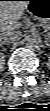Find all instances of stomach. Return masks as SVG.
I'll use <instances>...</instances> for the list:
<instances>
[{
	"label": "stomach",
	"mask_w": 50,
	"mask_h": 111,
	"mask_svg": "<svg viewBox=\"0 0 50 111\" xmlns=\"http://www.w3.org/2000/svg\"><path fill=\"white\" fill-rule=\"evenodd\" d=\"M27 10L40 22L50 21V0H29Z\"/></svg>",
	"instance_id": "0dacf381"
}]
</instances>
